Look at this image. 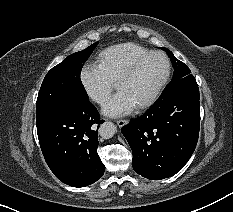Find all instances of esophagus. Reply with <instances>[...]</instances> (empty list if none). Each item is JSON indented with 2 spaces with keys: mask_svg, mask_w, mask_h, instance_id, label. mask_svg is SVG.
I'll list each match as a JSON object with an SVG mask.
<instances>
[{
  "mask_svg": "<svg viewBox=\"0 0 233 212\" xmlns=\"http://www.w3.org/2000/svg\"><path fill=\"white\" fill-rule=\"evenodd\" d=\"M128 123L127 120L121 119V120H117V125L119 127H123L124 125H126Z\"/></svg>",
  "mask_w": 233,
  "mask_h": 212,
  "instance_id": "34e87169",
  "label": "esophagus"
}]
</instances>
